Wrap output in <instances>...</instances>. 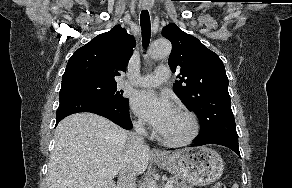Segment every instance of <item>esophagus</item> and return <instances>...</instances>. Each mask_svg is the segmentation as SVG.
Segmentation results:
<instances>
[{
	"label": "esophagus",
	"instance_id": "obj_1",
	"mask_svg": "<svg viewBox=\"0 0 292 188\" xmlns=\"http://www.w3.org/2000/svg\"><path fill=\"white\" fill-rule=\"evenodd\" d=\"M142 7H143V9H149L150 8L148 3H144L142 5ZM151 155L154 156V157H165V154L162 151H160L159 149H153L151 151Z\"/></svg>",
	"mask_w": 292,
	"mask_h": 188
}]
</instances>
